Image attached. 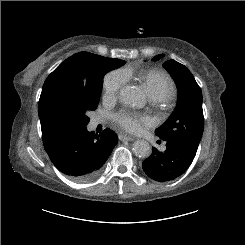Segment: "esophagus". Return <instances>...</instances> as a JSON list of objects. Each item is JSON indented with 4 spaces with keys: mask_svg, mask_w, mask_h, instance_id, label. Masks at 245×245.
I'll use <instances>...</instances> for the list:
<instances>
[{
    "mask_svg": "<svg viewBox=\"0 0 245 245\" xmlns=\"http://www.w3.org/2000/svg\"><path fill=\"white\" fill-rule=\"evenodd\" d=\"M119 140L120 141H133L134 137L121 134L119 135Z\"/></svg>",
    "mask_w": 245,
    "mask_h": 245,
    "instance_id": "esophagus-1",
    "label": "esophagus"
}]
</instances>
